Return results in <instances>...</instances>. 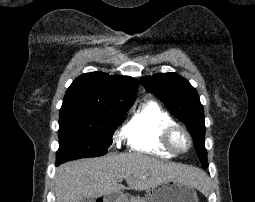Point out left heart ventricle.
<instances>
[{"label": "left heart ventricle", "mask_w": 255, "mask_h": 202, "mask_svg": "<svg viewBox=\"0 0 255 202\" xmlns=\"http://www.w3.org/2000/svg\"><path fill=\"white\" fill-rule=\"evenodd\" d=\"M173 143L176 148L184 150L188 147L187 137L180 131L176 132L173 136Z\"/></svg>", "instance_id": "1"}]
</instances>
